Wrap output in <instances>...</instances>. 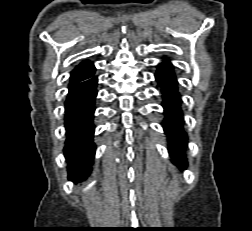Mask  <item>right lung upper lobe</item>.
<instances>
[{
	"instance_id": "right-lung-upper-lobe-1",
	"label": "right lung upper lobe",
	"mask_w": 252,
	"mask_h": 231,
	"mask_svg": "<svg viewBox=\"0 0 252 231\" xmlns=\"http://www.w3.org/2000/svg\"><path fill=\"white\" fill-rule=\"evenodd\" d=\"M95 73V67L90 61H83L71 72L69 85L82 82Z\"/></svg>"
}]
</instances>
